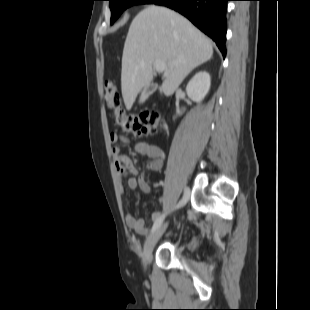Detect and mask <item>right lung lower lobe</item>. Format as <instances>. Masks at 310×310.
<instances>
[{
  "instance_id": "1",
  "label": "right lung lower lobe",
  "mask_w": 310,
  "mask_h": 310,
  "mask_svg": "<svg viewBox=\"0 0 310 310\" xmlns=\"http://www.w3.org/2000/svg\"><path fill=\"white\" fill-rule=\"evenodd\" d=\"M230 0H153L151 3L174 9L216 42L226 55V12Z\"/></svg>"
}]
</instances>
